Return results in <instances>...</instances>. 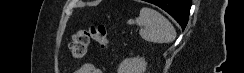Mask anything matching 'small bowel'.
I'll return each instance as SVG.
<instances>
[{
  "instance_id": "c3829d8e",
  "label": "small bowel",
  "mask_w": 244,
  "mask_h": 73,
  "mask_svg": "<svg viewBox=\"0 0 244 73\" xmlns=\"http://www.w3.org/2000/svg\"><path fill=\"white\" fill-rule=\"evenodd\" d=\"M76 73H102V71L96 68L92 63H84Z\"/></svg>"
}]
</instances>
